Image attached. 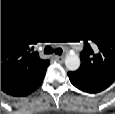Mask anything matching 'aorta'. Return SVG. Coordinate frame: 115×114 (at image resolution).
I'll list each match as a JSON object with an SVG mask.
<instances>
[{"label":"aorta","instance_id":"obj_1","mask_svg":"<svg viewBox=\"0 0 115 114\" xmlns=\"http://www.w3.org/2000/svg\"><path fill=\"white\" fill-rule=\"evenodd\" d=\"M65 66L70 71H75L80 67V58L74 52H70L66 55Z\"/></svg>","mask_w":115,"mask_h":114}]
</instances>
